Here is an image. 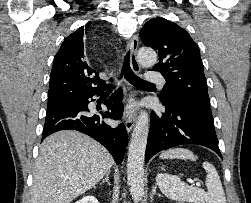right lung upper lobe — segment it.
<instances>
[{"mask_svg": "<svg viewBox=\"0 0 251 203\" xmlns=\"http://www.w3.org/2000/svg\"><path fill=\"white\" fill-rule=\"evenodd\" d=\"M89 26L90 23H87L70 34L55 56L50 76L47 111L73 103L90 92L106 88L99 74L85 61L83 36Z\"/></svg>", "mask_w": 251, "mask_h": 203, "instance_id": "obj_1", "label": "right lung upper lobe"}]
</instances>
